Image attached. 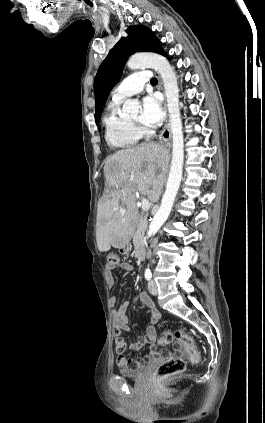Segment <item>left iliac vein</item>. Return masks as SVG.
I'll use <instances>...</instances> for the list:
<instances>
[{
	"label": "left iliac vein",
	"mask_w": 265,
	"mask_h": 423,
	"mask_svg": "<svg viewBox=\"0 0 265 423\" xmlns=\"http://www.w3.org/2000/svg\"><path fill=\"white\" fill-rule=\"evenodd\" d=\"M148 288H149V291H150V293L152 295H157L158 294V289H157V286H156L155 282L149 281Z\"/></svg>",
	"instance_id": "obj_1"
}]
</instances>
